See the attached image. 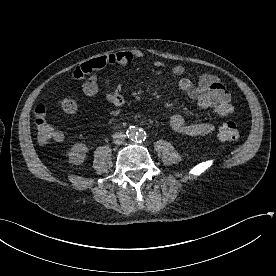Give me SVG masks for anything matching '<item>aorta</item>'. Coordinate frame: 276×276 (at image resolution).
Segmentation results:
<instances>
[{
	"instance_id": "aorta-1",
	"label": "aorta",
	"mask_w": 276,
	"mask_h": 276,
	"mask_svg": "<svg viewBox=\"0 0 276 276\" xmlns=\"http://www.w3.org/2000/svg\"><path fill=\"white\" fill-rule=\"evenodd\" d=\"M128 135L130 138L136 141H143L146 138V133L144 130L136 129L133 127L129 129Z\"/></svg>"
}]
</instances>
